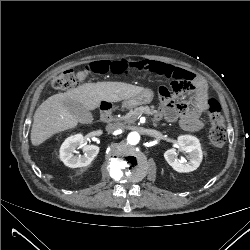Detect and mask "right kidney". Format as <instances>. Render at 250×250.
Listing matches in <instances>:
<instances>
[{
	"instance_id": "right-kidney-1",
	"label": "right kidney",
	"mask_w": 250,
	"mask_h": 250,
	"mask_svg": "<svg viewBox=\"0 0 250 250\" xmlns=\"http://www.w3.org/2000/svg\"><path fill=\"white\" fill-rule=\"evenodd\" d=\"M83 147V155H74L76 148ZM99 152L96 145H87L82 134L68 137L60 148V158L70 168L88 166Z\"/></svg>"
}]
</instances>
